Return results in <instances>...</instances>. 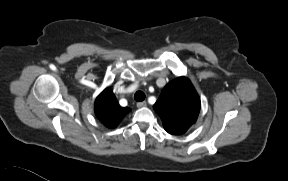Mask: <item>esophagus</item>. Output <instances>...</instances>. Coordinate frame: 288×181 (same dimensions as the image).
Returning <instances> with one entry per match:
<instances>
[{
  "label": "esophagus",
  "instance_id": "esophagus-1",
  "mask_svg": "<svg viewBox=\"0 0 288 181\" xmlns=\"http://www.w3.org/2000/svg\"><path fill=\"white\" fill-rule=\"evenodd\" d=\"M145 106H147V103H146L145 101H143V102H138V103H137V107H138V108H143V107H145Z\"/></svg>",
  "mask_w": 288,
  "mask_h": 181
}]
</instances>
